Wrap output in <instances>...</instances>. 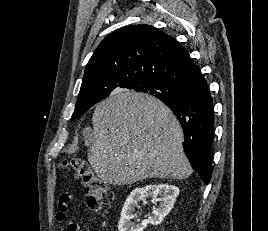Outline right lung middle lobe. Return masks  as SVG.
<instances>
[{"label": "right lung middle lobe", "instance_id": "dd1d6c3e", "mask_svg": "<svg viewBox=\"0 0 268 231\" xmlns=\"http://www.w3.org/2000/svg\"><path fill=\"white\" fill-rule=\"evenodd\" d=\"M131 89L137 92L150 94L160 100L178 98L182 94L181 89L169 86L165 83L158 81L143 82L134 86ZM93 105V103H76V107L71 117V120H74L79 116L83 115Z\"/></svg>", "mask_w": 268, "mask_h": 231}]
</instances>
